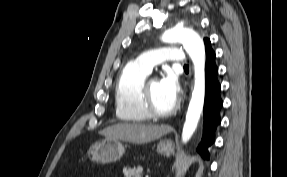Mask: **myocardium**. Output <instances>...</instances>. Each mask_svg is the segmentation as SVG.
Returning <instances> with one entry per match:
<instances>
[{"label": "myocardium", "mask_w": 287, "mask_h": 177, "mask_svg": "<svg viewBox=\"0 0 287 177\" xmlns=\"http://www.w3.org/2000/svg\"><path fill=\"white\" fill-rule=\"evenodd\" d=\"M149 83L150 82L144 83L141 93V103L144 111L149 115V117L153 118H166L173 115L178 108V104L175 103L168 111H159L153 103Z\"/></svg>", "instance_id": "obj_1"}]
</instances>
